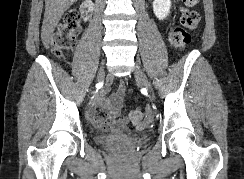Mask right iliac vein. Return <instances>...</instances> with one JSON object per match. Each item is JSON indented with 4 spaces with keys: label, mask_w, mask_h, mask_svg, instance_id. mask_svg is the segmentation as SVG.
Masks as SVG:
<instances>
[{
    "label": "right iliac vein",
    "mask_w": 244,
    "mask_h": 179,
    "mask_svg": "<svg viewBox=\"0 0 244 179\" xmlns=\"http://www.w3.org/2000/svg\"><path fill=\"white\" fill-rule=\"evenodd\" d=\"M104 76V70H103V67L101 68L100 72H99V75L98 77L99 78H102Z\"/></svg>",
    "instance_id": "63e3f726"
}]
</instances>
